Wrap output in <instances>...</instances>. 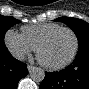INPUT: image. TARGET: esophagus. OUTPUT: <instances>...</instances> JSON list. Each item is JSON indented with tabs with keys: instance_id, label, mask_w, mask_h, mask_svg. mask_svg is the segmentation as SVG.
Here are the masks:
<instances>
[{
	"instance_id": "obj_1",
	"label": "esophagus",
	"mask_w": 89,
	"mask_h": 89,
	"mask_svg": "<svg viewBox=\"0 0 89 89\" xmlns=\"http://www.w3.org/2000/svg\"><path fill=\"white\" fill-rule=\"evenodd\" d=\"M27 68L29 72H32L35 69V67L31 65H28Z\"/></svg>"
}]
</instances>
